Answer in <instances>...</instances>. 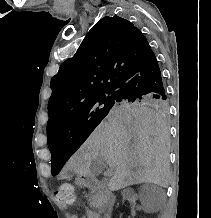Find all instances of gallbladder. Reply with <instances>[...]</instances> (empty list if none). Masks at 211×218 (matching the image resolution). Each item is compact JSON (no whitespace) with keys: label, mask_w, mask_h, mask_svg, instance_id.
<instances>
[{"label":"gallbladder","mask_w":211,"mask_h":218,"mask_svg":"<svg viewBox=\"0 0 211 218\" xmlns=\"http://www.w3.org/2000/svg\"><path fill=\"white\" fill-rule=\"evenodd\" d=\"M105 167L101 166L99 160H93L90 164V172L92 176H99L104 174Z\"/></svg>","instance_id":"gallbladder-1"}]
</instances>
